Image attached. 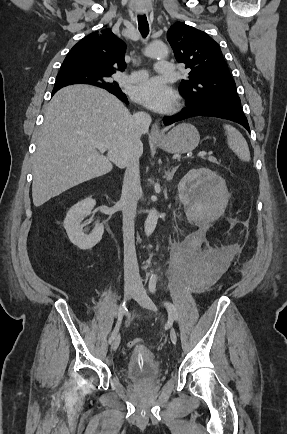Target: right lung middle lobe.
Wrapping results in <instances>:
<instances>
[{
  "instance_id": "dd1d6c3e",
  "label": "right lung middle lobe",
  "mask_w": 287,
  "mask_h": 434,
  "mask_svg": "<svg viewBox=\"0 0 287 434\" xmlns=\"http://www.w3.org/2000/svg\"><path fill=\"white\" fill-rule=\"evenodd\" d=\"M81 83L104 88L108 91H121L116 82L111 81L110 74H101L82 69H61L55 84Z\"/></svg>"
}]
</instances>
